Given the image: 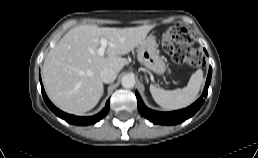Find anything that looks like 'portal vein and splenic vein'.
<instances>
[{
    "label": "portal vein and splenic vein",
    "instance_id": "18ae733b",
    "mask_svg": "<svg viewBox=\"0 0 258 158\" xmlns=\"http://www.w3.org/2000/svg\"><path fill=\"white\" fill-rule=\"evenodd\" d=\"M108 44H109L108 41L106 39L102 38L100 40V47L97 50V54L100 55V56H103L105 51H106V48H107Z\"/></svg>",
    "mask_w": 258,
    "mask_h": 158
}]
</instances>
